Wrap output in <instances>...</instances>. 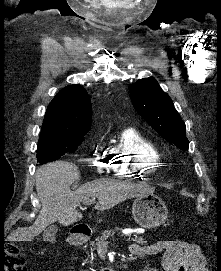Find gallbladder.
<instances>
[{"label": "gallbladder", "instance_id": "gallbladder-1", "mask_svg": "<svg viewBox=\"0 0 221 271\" xmlns=\"http://www.w3.org/2000/svg\"><path fill=\"white\" fill-rule=\"evenodd\" d=\"M58 231L57 225L53 223V225H48L46 229H43L42 237L43 241H55V235Z\"/></svg>", "mask_w": 221, "mask_h": 271}]
</instances>
